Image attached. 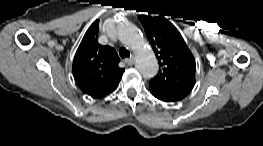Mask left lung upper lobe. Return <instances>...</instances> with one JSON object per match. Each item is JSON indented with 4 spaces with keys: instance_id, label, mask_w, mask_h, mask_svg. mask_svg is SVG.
<instances>
[{
    "instance_id": "left-lung-upper-lobe-1",
    "label": "left lung upper lobe",
    "mask_w": 263,
    "mask_h": 146,
    "mask_svg": "<svg viewBox=\"0 0 263 146\" xmlns=\"http://www.w3.org/2000/svg\"><path fill=\"white\" fill-rule=\"evenodd\" d=\"M160 66L149 87L172 101L186 97L195 85V59L181 34L165 21L142 20Z\"/></svg>"
}]
</instances>
